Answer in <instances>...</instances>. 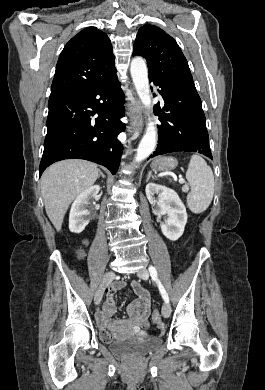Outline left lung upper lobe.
Returning a JSON list of instances; mask_svg holds the SVG:
<instances>
[{"label": "left lung upper lobe", "instance_id": "5c2ea615", "mask_svg": "<svg viewBox=\"0 0 265 390\" xmlns=\"http://www.w3.org/2000/svg\"><path fill=\"white\" fill-rule=\"evenodd\" d=\"M133 55L146 59L149 78L161 82H193L187 60L177 42L161 28L147 24L139 29Z\"/></svg>", "mask_w": 265, "mask_h": 390}]
</instances>
